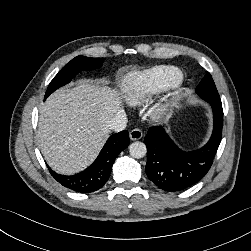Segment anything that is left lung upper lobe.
<instances>
[{
    "mask_svg": "<svg viewBox=\"0 0 251 251\" xmlns=\"http://www.w3.org/2000/svg\"><path fill=\"white\" fill-rule=\"evenodd\" d=\"M197 94L205 101H220L218 91L210 73H206L205 77L196 88Z\"/></svg>",
    "mask_w": 251,
    "mask_h": 251,
    "instance_id": "left-lung-upper-lobe-1",
    "label": "left lung upper lobe"
}]
</instances>
